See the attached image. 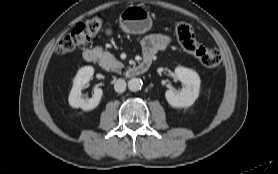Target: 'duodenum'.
<instances>
[{"label":"duodenum","mask_w":278,"mask_h":174,"mask_svg":"<svg viewBox=\"0 0 278 174\" xmlns=\"http://www.w3.org/2000/svg\"><path fill=\"white\" fill-rule=\"evenodd\" d=\"M83 57L85 61L94 63L98 59V52L95 49H87L84 51ZM151 63L152 59L150 57H145L141 62L129 68L127 72L130 76L143 74L149 69Z\"/></svg>","instance_id":"410a0bca"}]
</instances>
